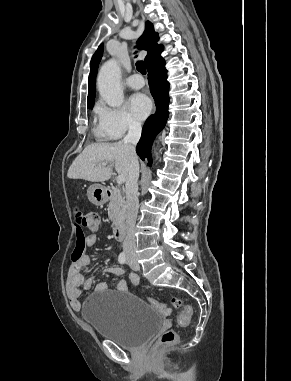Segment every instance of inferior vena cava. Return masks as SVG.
Masks as SVG:
<instances>
[{
	"label": "inferior vena cava",
	"mask_w": 291,
	"mask_h": 381,
	"mask_svg": "<svg viewBox=\"0 0 291 381\" xmlns=\"http://www.w3.org/2000/svg\"><path fill=\"white\" fill-rule=\"evenodd\" d=\"M141 130V124L137 121H132L129 124L128 133L123 139L130 153V168L126 179V236L123 242V251L127 255L134 254L136 248L134 228L139 207L137 184L139 162L135 147L141 137Z\"/></svg>",
	"instance_id": "inferior-vena-cava-1"
}]
</instances>
